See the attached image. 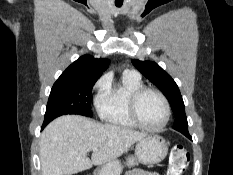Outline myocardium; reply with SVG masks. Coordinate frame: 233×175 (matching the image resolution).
<instances>
[{
    "label": "myocardium",
    "mask_w": 233,
    "mask_h": 175,
    "mask_svg": "<svg viewBox=\"0 0 233 175\" xmlns=\"http://www.w3.org/2000/svg\"><path fill=\"white\" fill-rule=\"evenodd\" d=\"M147 92H152L158 95L164 105L165 118H164V121L157 127H150L144 124L141 121L139 114H138L139 100ZM128 112H129V115L132 121L138 127H140L143 130L150 131V132H158L164 129L166 125L168 124L170 120V116H171L170 104L166 96L160 90L153 88V87H147V86H142L131 93L129 102H128Z\"/></svg>",
    "instance_id": "myocardium-1"
}]
</instances>
